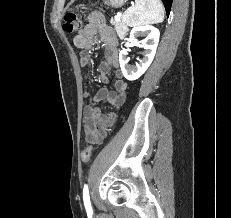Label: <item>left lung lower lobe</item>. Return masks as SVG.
Listing matches in <instances>:
<instances>
[{
  "label": "left lung lower lobe",
  "mask_w": 231,
  "mask_h": 218,
  "mask_svg": "<svg viewBox=\"0 0 231 218\" xmlns=\"http://www.w3.org/2000/svg\"><path fill=\"white\" fill-rule=\"evenodd\" d=\"M172 1H173V0H162L163 4H164V6H165V9H166L167 15H169V13H170Z\"/></svg>",
  "instance_id": "left-lung-lower-lobe-1"
}]
</instances>
